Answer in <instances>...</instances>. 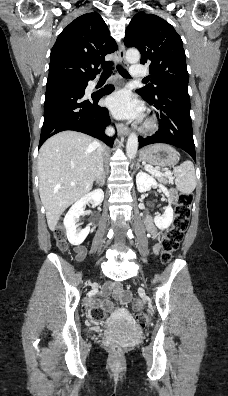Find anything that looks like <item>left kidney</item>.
I'll use <instances>...</instances> for the list:
<instances>
[{
	"mask_svg": "<svg viewBox=\"0 0 228 396\" xmlns=\"http://www.w3.org/2000/svg\"><path fill=\"white\" fill-rule=\"evenodd\" d=\"M136 185H137V190L139 192H146L149 190L151 187L158 186L160 190L169 198L170 194L167 188L161 184H158L156 180L150 176L149 174L145 172H138L136 175ZM169 205L165 207V211L162 215L157 214L154 217V223L155 225L161 229H167L173 222V209L171 207V200L169 198L168 200Z\"/></svg>",
	"mask_w": 228,
	"mask_h": 396,
	"instance_id": "5707ae66",
	"label": "left kidney"
}]
</instances>
